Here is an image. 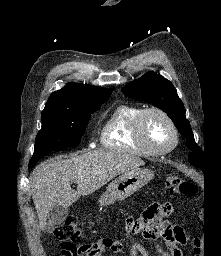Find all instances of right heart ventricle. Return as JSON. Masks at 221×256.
<instances>
[{"mask_svg":"<svg viewBox=\"0 0 221 256\" xmlns=\"http://www.w3.org/2000/svg\"><path fill=\"white\" fill-rule=\"evenodd\" d=\"M143 110L136 105L122 104L115 107L105 119L100 133L103 146L140 156L151 153L137 142L134 136L136 118Z\"/></svg>","mask_w":221,"mask_h":256,"instance_id":"obj_1","label":"right heart ventricle"}]
</instances>
